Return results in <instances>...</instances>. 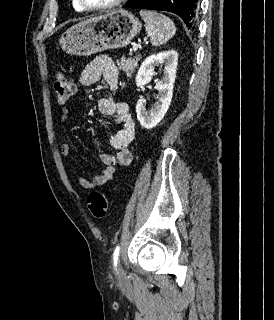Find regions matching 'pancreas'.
<instances>
[{"label": "pancreas", "instance_id": "obj_1", "mask_svg": "<svg viewBox=\"0 0 274 320\" xmlns=\"http://www.w3.org/2000/svg\"><path fill=\"white\" fill-rule=\"evenodd\" d=\"M139 60H140V56H133V58H124L123 56L121 60H118L117 64L119 66V70H123V72H126L128 78H130Z\"/></svg>", "mask_w": 274, "mask_h": 320}]
</instances>
